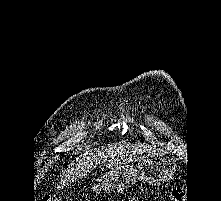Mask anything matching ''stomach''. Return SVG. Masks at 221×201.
Returning a JSON list of instances; mask_svg holds the SVG:
<instances>
[{"label":"stomach","instance_id":"obj_1","mask_svg":"<svg viewBox=\"0 0 221 201\" xmlns=\"http://www.w3.org/2000/svg\"><path fill=\"white\" fill-rule=\"evenodd\" d=\"M176 159L165 153H154L139 159L138 165L116 166L99 177L92 189L94 192L111 191L122 193L137 181L149 185H161L176 172Z\"/></svg>","mask_w":221,"mask_h":201}]
</instances>
